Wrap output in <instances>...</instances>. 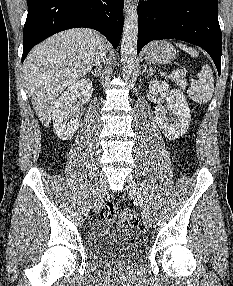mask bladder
Returning <instances> with one entry per match:
<instances>
[{
    "label": "bladder",
    "instance_id": "obj_1",
    "mask_svg": "<svg viewBox=\"0 0 233 286\" xmlns=\"http://www.w3.org/2000/svg\"><path fill=\"white\" fill-rule=\"evenodd\" d=\"M88 250L99 263L136 265L148 253L145 235L137 228L113 218H102L89 235Z\"/></svg>",
    "mask_w": 233,
    "mask_h": 286
}]
</instances>
